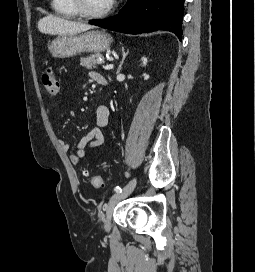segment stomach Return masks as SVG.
<instances>
[{"label": "stomach", "instance_id": "stomach-1", "mask_svg": "<svg viewBox=\"0 0 255 272\" xmlns=\"http://www.w3.org/2000/svg\"><path fill=\"white\" fill-rule=\"evenodd\" d=\"M113 42L105 31H87L82 34L61 35L49 46L50 53L56 58H68L80 53H100L110 48Z\"/></svg>", "mask_w": 255, "mask_h": 272}]
</instances>
